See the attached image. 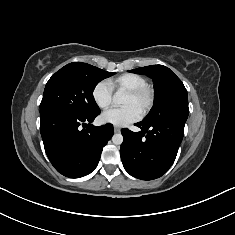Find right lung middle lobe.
<instances>
[{"label":"right lung middle lobe","mask_w":235,"mask_h":235,"mask_svg":"<svg viewBox=\"0 0 235 235\" xmlns=\"http://www.w3.org/2000/svg\"><path fill=\"white\" fill-rule=\"evenodd\" d=\"M114 74L86 63L67 64L48 80L40 114L55 111L86 116L98 112L100 109L92 94L94 88L101 80Z\"/></svg>","instance_id":"obj_1"}]
</instances>
